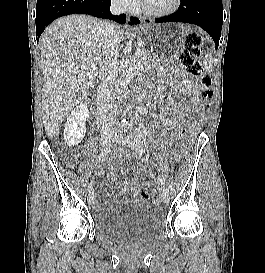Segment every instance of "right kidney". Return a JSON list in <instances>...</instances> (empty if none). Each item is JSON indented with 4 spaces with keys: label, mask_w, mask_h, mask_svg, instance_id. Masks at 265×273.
I'll return each instance as SVG.
<instances>
[{
    "label": "right kidney",
    "mask_w": 265,
    "mask_h": 273,
    "mask_svg": "<svg viewBox=\"0 0 265 273\" xmlns=\"http://www.w3.org/2000/svg\"><path fill=\"white\" fill-rule=\"evenodd\" d=\"M88 116L87 106L83 103L72 110L64 129V140L69 146L78 145L86 133L85 121Z\"/></svg>",
    "instance_id": "ca27d5eb"
}]
</instances>
